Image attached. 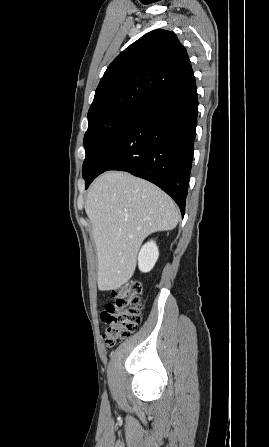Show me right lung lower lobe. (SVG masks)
I'll return each mask as SVG.
<instances>
[{
    "mask_svg": "<svg viewBox=\"0 0 269 447\" xmlns=\"http://www.w3.org/2000/svg\"><path fill=\"white\" fill-rule=\"evenodd\" d=\"M193 70L142 104L89 169L86 188L107 170L127 171L164 190L182 216L188 191L197 125Z\"/></svg>",
    "mask_w": 269,
    "mask_h": 447,
    "instance_id": "98d812e1",
    "label": "right lung lower lobe"
}]
</instances>
